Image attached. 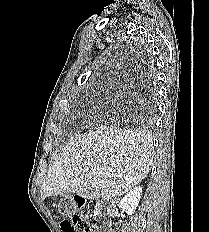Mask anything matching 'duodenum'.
I'll return each instance as SVG.
<instances>
[{"mask_svg": "<svg viewBox=\"0 0 209 232\" xmlns=\"http://www.w3.org/2000/svg\"><path fill=\"white\" fill-rule=\"evenodd\" d=\"M77 201L79 203L83 202L82 197H78ZM107 206L103 201H96L94 207V216H95V232H106L109 227V220L107 217Z\"/></svg>", "mask_w": 209, "mask_h": 232, "instance_id": "410a0bca", "label": "duodenum"}]
</instances>
